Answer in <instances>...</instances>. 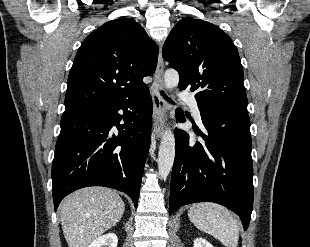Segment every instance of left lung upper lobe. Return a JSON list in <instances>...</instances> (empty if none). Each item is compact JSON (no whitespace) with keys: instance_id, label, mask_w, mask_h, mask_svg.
Returning <instances> with one entry per match:
<instances>
[{"instance_id":"obj_1","label":"left lung upper lobe","mask_w":310,"mask_h":247,"mask_svg":"<svg viewBox=\"0 0 310 247\" xmlns=\"http://www.w3.org/2000/svg\"><path fill=\"white\" fill-rule=\"evenodd\" d=\"M162 56L178 71L179 88L196 90L199 108L246 114L247 96L237 48L216 25L182 18L165 41Z\"/></svg>"}]
</instances>
